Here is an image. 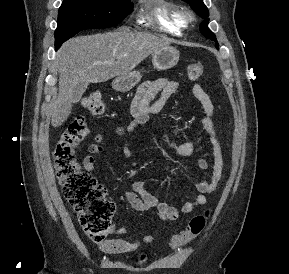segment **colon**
Wrapping results in <instances>:
<instances>
[{"label": "colon", "mask_w": 289, "mask_h": 274, "mask_svg": "<svg viewBox=\"0 0 289 274\" xmlns=\"http://www.w3.org/2000/svg\"><path fill=\"white\" fill-rule=\"evenodd\" d=\"M204 67L200 61L188 65L190 80H197ZM84 107L92 115H101L105 102L99 93H92L83 100ZM89 132L83 116L75 117L56 142L53 157L56 175L63 195L76 212L86 235L94 241H102L111 231V219L115 204L107 199L106 189L76 159L75 149ZM209 212L193 217L187 228L176 235L171 242L173 248H180L205 229Z\"/></svg>", "instance_id": "1"}]
</instances>
